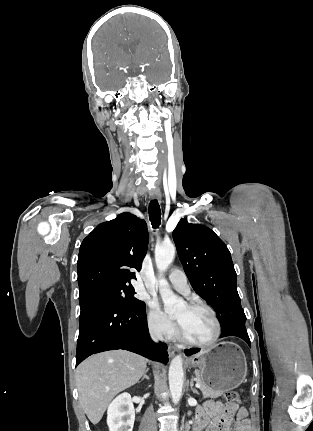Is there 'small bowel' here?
<instances>
[{
	"mask_svg": "<svg viewBox=\"0 0 313 431\" xmlns=\"http://www.w3.org/2000/svg\"><path fill=\"white\" fill-rule=\"evenodd\" d=\"M234 416L235 431H253L245 407L224 406L219 401H208L197 411L196 431H230Z\"/></svg>",
	"mask_w": 313,
	"mask_h": 431,
	"instance_id": "small-bowel-1",
	"label": "small bowel"
}]
</instances>
